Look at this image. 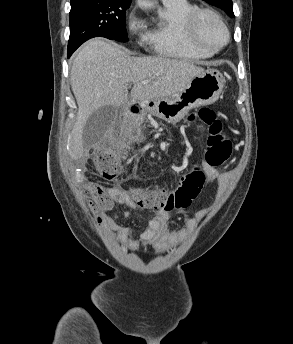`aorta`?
I'll return each instance as SVG.
<instances>
[{"label": "aorta", "instance_id": "aorta-1", "mask_svg": "<svg viewBox=\"0 0 293 344\" xmlns=\"http://www.w3.org/2000/svg\"><path fill=\"white\" fill-rule=\"evenodd\" d=\"M137 3L143 9H149L152 6L147 0H137Z\"/></svg>", "mask_w": 293, "mask_h": 344}]
</instances>
